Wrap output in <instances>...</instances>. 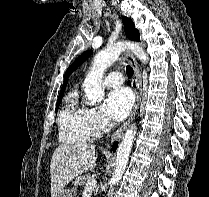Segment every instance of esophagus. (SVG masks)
<instances>
[{"instance_id": "esophagus-1", "label": "esophagus", "mask_w": 209, "mask_h": 197, "mask_svg": "<svg viewBox=\"0 0 209 197\" xmlns=\"http://www.w3.org/2000/svg\"><path fill=\"white\" fill-rule=\"evenodd\" d=\"M125 55L134 70L133 86H134V91H135V103H134V106H133V109L129 118L112 135L111 142L117 141L123 135L124 131L129 126V124L134 120L138 112L139 105H140L141 98H142V82H141L140 68L138 66L136 59L130 52H126Z\"/></svg>"}]
</instances>
